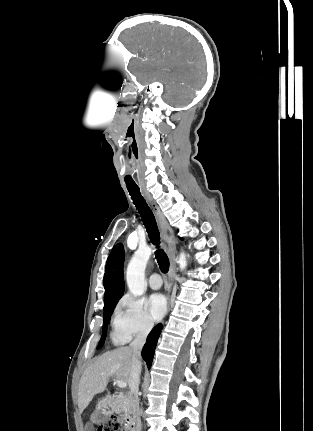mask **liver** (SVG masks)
<instances>
[{"mask_svg":"<svg viewBox=\"0 0 313 431\" xmlns=\"http://www.w3.org/2000/svg\"><path fill=\"white\" fill-rule=\"evenodd\" d=\"M132 365L130 347H119L99 356L84 371L78 387V408L82 413L96 394L105 391L109 378L129 384Z\"/></svg>","mask_w":313,"mask_h":431,"instance_id":"1","label":"liver"}]
</instances>
